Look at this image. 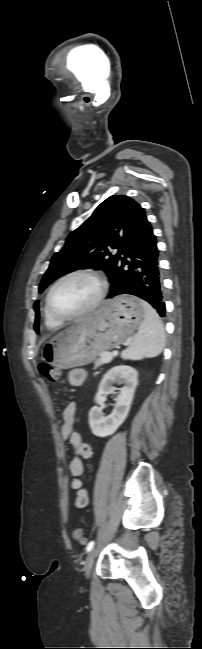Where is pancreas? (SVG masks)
<instances>
[{"label": "pancreas", "mask_w": 202, "mask_h": 649, "mask_svg": "<svg viewBox=\"0 0 202 649\" xmlns=\"http://www.w3.org/2000/svg\"><path fill=\"white\" fill-rule=\"evenodd\" d=\"M101 353H99L100 358H97L94 363V369L98 368L99 366L103 365L104 362L101 360Z\"/></svg>", "instance_id": "pancreas-1"}]
</instances>
